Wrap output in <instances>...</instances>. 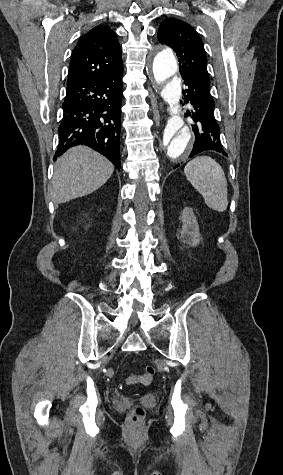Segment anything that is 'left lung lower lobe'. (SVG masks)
Returning <instances> with one entry per match:
<instances>
[{
    "mask_svg": "<svg viewBox=\"0 0 283 475\" xmlns=\"http://www.w3.org/2000/svg\"><path fill=\"white\" fill-rule=\"evenodd\" d=\"M180 74L187 86L183 91L184 101L193 106V110L187 113L193 119L192 128L195 135L190 156L207 150L217 151L227 156L222 147L220 129L214 117L215 102L209 90V77L195 72H180Z\"/></svg>",
    "mask_w": 283,
    "mask_h": 475,
    "instance_id": "0a47b994",
    "label": "left lung lower lobe"
}]
</instances>
